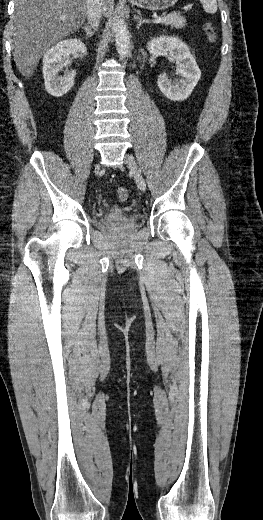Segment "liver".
<instances>
[{"label": "liver", "mask_w": 263, "mask_h": 520, "mask_svg": "<svg viewBox=\"0 0 263 520\" xmlns=\"http://www.w3.org/2000/svg\"><path fill=\"white\" fill-rule=\"evenodd\" d=\"M11 22L13 56L19 72L30 78L41 57L64 37L74 33L87 16L86 0H15ZM114 0H102L108 17ZM66 18L63 19L62 17Z\"/></svg>", "instance_id": "obj_1"}]
</instances>
